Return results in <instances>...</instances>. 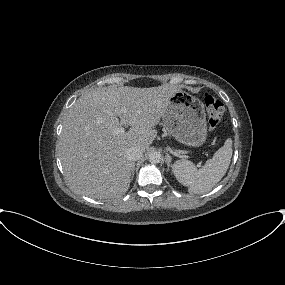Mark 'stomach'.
I'll return each mask as SVG.
<instances>
[{"label":"stomach","instance_id":"stomach-1","mask_svg":"<svg viewBox=\"0 0 285 285\" xmlns=\"http://www.w3.org/2000/svg\"><path fill=\"white\" fill-rule=\"evenodd\" d=\"M162 122L168 133L182 144L196 147L206 140L204 105L198 98L182 90L170 98Z\"/></svg>","mask_w":285,"mask_h":285}]
</instances>
